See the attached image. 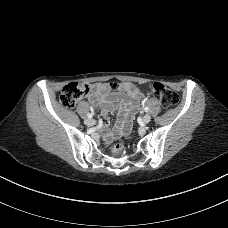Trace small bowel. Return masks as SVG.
I'll use <instances>...</instances> for the list:
<instances>
[{
    "mask_svg": "<svg viewBox=\"0 0 228 228\" xmlns=\"http://www.w3.org/2000/svg\"><path fill=\"white\" fill-rule=\"evenodd\" d=\"M124 84H117L112 91L109 83L93 85V92L88 96V102L99 107L103 117H106L115 108L119 111L118 122L113 131L104 129V137L110 141L114 137L126 135L131 129V117L139 107L142 93L134 86L129 95L124 93Z\"/></svg>",
    "mask_w": 228,
    "mask_h": 228,
    "instance_id": "c3829d8e",
    "label": "small bowel"
}]
</instances>
